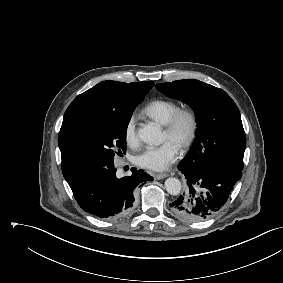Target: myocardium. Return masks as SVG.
I'll return each instance as SVG.
<instances>
[{"label": "myocardium", "mask_w": 283, "mask_h": 283, "mask_svg": "<svg viewBox=\"0 0 283 283\" xmlns=\"http://www.w3.org/2000/svg\"><path fill=\"white\" fill-rule=\"evenodd\" d=\"M183 127H186V132L180 139L179 148L186 150L194 142L199 127L198 115L193 108H179L165 125V132L169 137L175 138L179 135Z\"/></svg>", "instance_id": "myocardium-1"}]
</instances>
